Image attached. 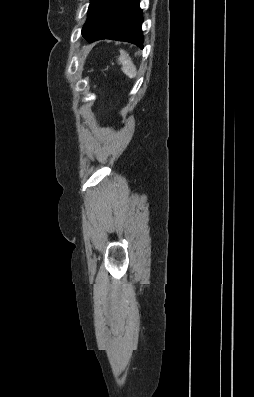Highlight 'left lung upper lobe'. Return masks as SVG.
<instances>
[{
  "mask_svg": "<svg viewBox=\"0 0 254 397\" xmlns=\"http://www.w3.org/2000/svg\"><path fill=\"white\" fill-rule=\"evenodd\" d=\"M109 0H91L87 20L82 28V35L86 39L98 26Z\"/></svg>",
  "mask_w": 254,
  "mask_h": 397,
  "instance_id": "1",
  "label": "left lung upper lobe"
}]
</instances>
